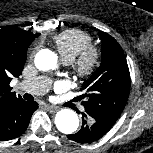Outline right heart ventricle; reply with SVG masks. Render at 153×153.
<instances>
[{"label":"right heart ventricle","instance_id":"obj_1","mask_svg":"<svg viewBox=\"0 0 153 153\" xmlns=\"http://www.w3.org/2000/svg\"><path fill=\"white\" fill-rule=\"evenodd\" d=\"M55 46L65 62H72L92 42V37L80 29H68L54 36Z\"/></svg>","mask_w":153,"mask_h":153}]
</instances>
